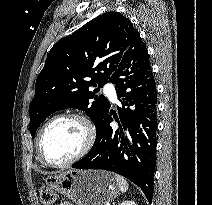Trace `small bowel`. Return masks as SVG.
Masks as SVG:
<instances>
[{
	"mask_svg": "<svg viewBox=\"0 0 212 205\" xmlns=\"http://www.w3.org/2000/svg\"><path fill=\"white\" fill-rule=\"evenodd\" d=\"M60 205H73V204L64 202V203H61Z\"/></svg>",
	"mask_w": 212,
	"mask_h": 205,
	"instance_id": "1",
	"label": "small bowel"
}]
</instances>
